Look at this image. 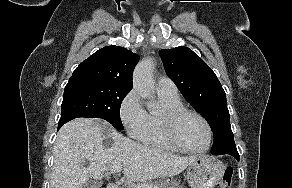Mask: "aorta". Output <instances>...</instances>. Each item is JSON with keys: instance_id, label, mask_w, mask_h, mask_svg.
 <instances>
[{"instance_id": "1", "label": "aorta", "mask_w": 292, "mask_h": 188, "mask_svg": "<svg viewBox=\"0 0 292 188\" xmlns=\"http://www.w3.org/2000/svg\"><path fill=\"white\" fill-rule=\"evenodd\" d=\"M154 61L151 58L142 60L136 66L133 73V86L142 98H148L149 110L158 109V104L154 101V80L152 76Z\"/></svg>"}]
</instances>
